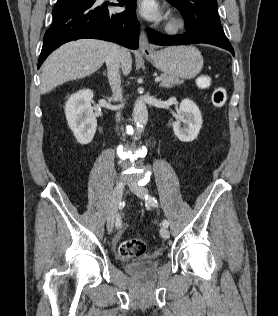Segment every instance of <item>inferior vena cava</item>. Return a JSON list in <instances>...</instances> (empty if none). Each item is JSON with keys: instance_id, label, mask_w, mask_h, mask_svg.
I'll return each mask as SVG.
<instances>
[{"instance_id": "1", "label": "inferior vena cava", "mask_w": 278, "mask_h": 316, "mask_svg": "<svg viewBox=\"0 0 278 316\" xmlns=\"http://www.w3.org/2000/svg\"><path fill=\"white\" fill-rule=\"evenodd\" d=\"M121 56L122 49L117 45H113L112 51L106 59L108 80L113 92V99L116 101L122 100L121 80L119 74ZM116 118L118 120L120 119V113H117Z\"/></svg>"}]
</instances>
